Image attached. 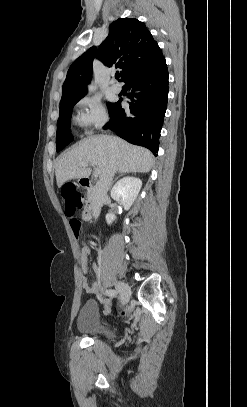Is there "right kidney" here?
Listing matches in <instances>:
<instances>
[{
	"label": "right kidney",
	"instance_id": "right-kidney-1",
	"mask_svg": "<svg viewBox=\"0 0 247 407\" xmlns=\"http://www.w3.org/2000/svg\"><path fill=\"white\" fill-rule=\"evenodd\" d=\"M142 187V181L135 177H125L118 181L111 191V197L120 203L125 210H129L138 196ZM116 219L115 214L106 215L107 224H111Z\"/></svg>",
	"mask_w": 247,
	"mask_h": 407
}]
</instances>
